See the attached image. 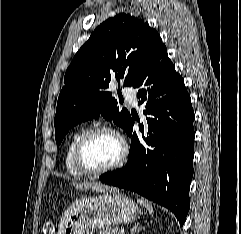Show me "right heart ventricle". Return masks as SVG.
Instances as JSON below:
<instances>
[{"instance_id":"e07e8e85","label":"right heart ventricle","mask_w":241,"mask_h":234,"mask_svg":"<svg viewBox=\"0 0 241 234\" xmlns=\"http://www.w3.org/2000/svg\"><path fill=\"white\" fill-rule=\"evenodd\" d=\"M85 131L86 130L84 128H80L77 131H75L70 137L66 148L64 160L65 168L67 172L74 177H81L83 175V173L77 168L75 164L74 152L79 139L85 133Z\"/></svg>"}]
</instances>
